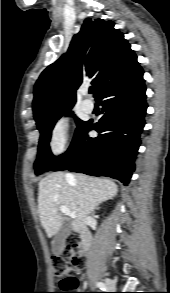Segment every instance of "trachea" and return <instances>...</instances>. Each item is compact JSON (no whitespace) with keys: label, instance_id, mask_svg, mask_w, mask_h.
I'll list each match as a JSON object with an SVG mask.
<instances>
[{"label":"trachea","instance_id":"3493384b","mask_svg":"<svg viewBox=\"0 0 170 293\" xmlns=\"http://www.w3.org/2000/svg\"><path fill=\"white\" fill-rule=\"evenodd\" d=\"M89 93H90V94L93 93V88H92V87L89 89Z\"/></svg>","mask_w":170,"mask_h":293}]
</instances>
